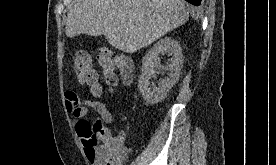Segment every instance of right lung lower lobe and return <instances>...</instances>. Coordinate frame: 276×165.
<instances>
[{
	"label": "right lung lower lobe",
	"mask_w": 276,
	"mask_h": 165,
	"mask_svg": "<svg viewBox=\"0 0 276 165\" xmlns=\"http://www.w3.org/2000/svg\"><path fill=\"white\" fill-rule=\"evenodd\" d=\"M186 1H188L189 3H191V4H193V5L198 6V5L201 4V2H202L203 0H186Z\"/></svg>",
	"instance_id": "obj_1"
}]
</instances>
